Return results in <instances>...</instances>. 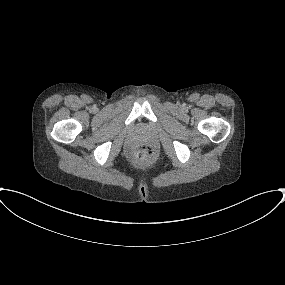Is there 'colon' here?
Masks as SVG:
<instances>
[{
	"mask_svg": "<svg viewBox=\"0 0 285 285\" xmlns=\"http://www.w3.org/2000/svg\"><path fill=\"white\" fill-rule=\"evenodd\" d=\"M135 157L142 163H149L153 160L154 152L150 146L144 144L135 150Z\"/></svg>",
	"mask_w": 285,
	"mask_h": 285,
	"instance_id": "1",
	"label": "colon"
}]
</instances>
